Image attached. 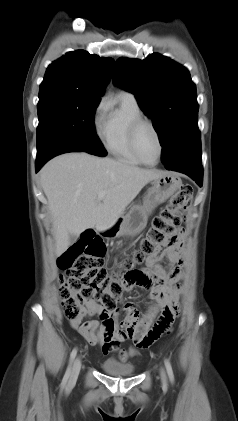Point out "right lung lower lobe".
Listing matches in <instances>:
<instances>
[{"instance_id": "1", "label": "right lung lower lobe", "mask_w": 238, "mask_h": 421, "mask_svg": "<svg viewBox=\"0 0 238 421\" xmlns=\"http://www.w3.org/2000/svg\"><path fill=\"white\" fill-rule=\"evenodd\" d=\"M67 152H85V150L59 136L48 138L37 148L36 172L51 158Z\"/></svg>"}]
</instances>
